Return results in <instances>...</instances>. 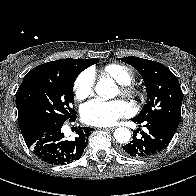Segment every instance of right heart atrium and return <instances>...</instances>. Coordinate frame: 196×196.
Returning a JSON list of instances; mask_svg holds the SVG:
<instances>
[{
    "label": "right heart atrium",
    "instance_id": "right-heart-atrium-1",
    "mask_svg": "<svg viewBox=\"0 0 196 196\" xmlns=\"http://www.w3.org/2000/svg\"><path fill=\"white\" fill-rule=\"evenodd\" d=\"M95 75L90 69L81 72L74 82V95L77 99L83 100L93 93Z\"/></svg>",
    "mask_w": 196,
    "mask_h": 196
}]
</instances>
